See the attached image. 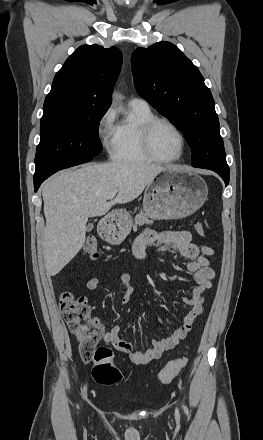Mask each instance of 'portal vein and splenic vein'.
I'll return each mask as SVG.
<instances>
[{
  "mask_svg": "<svg viewBox=\"0 0 263 440\" xmlns=\"http://www.w3.org/2000/svg\"><path fill=\"white\" fill-rule=\"evenodd\" d=\"M116 194H117V190L111 192V193L107 196V199H108V200L113 199V198L116 196Z\"/></svg>",
  "mask_w": 263,
  "mask_h": 440,
  "instance_id": "1",
  "label": "portal vein and splenic vein"
}]
</instances>
